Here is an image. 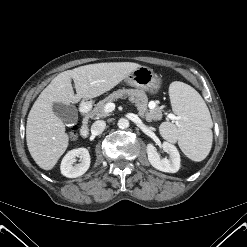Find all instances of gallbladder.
I'll return each instance as SVG.
<instances>
[{
  "instance_id": "gallbladder-1",
  "label": "gallbladder",
  "mask_w": 247,
  "mask_h": 247,
  "mask_svg": "<svg viewBox=\"0 0 247 247\" xmlns=\"http://www.w3.org/2000/svg\"><path fill=\"white\" fill-rule=\"evenodd\" d=\"M53 112L65 124H76L78 119V112L74 105H66L63 103H53Z\"/></svg>"
}]
</instances>
